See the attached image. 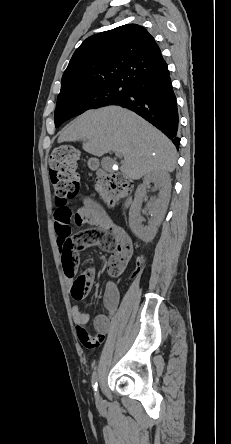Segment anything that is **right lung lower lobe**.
Masks as SVG:
<instances>
[{
  "mask_svg": "<svg viewBox=\"0 0 231 444\" xmlns=\"http://www.w3.org/2000/svg\"><path fill=\"white\" fill-rule=\"evenodd\" d=\"M133 110L165 133L178 148L179 116L168 68L130 85L128 95L114 103Z\"/></svg>",
  "mask_w": 231,
  "mask_h": 444,
  "instance_id": "obj_1",
  "label": "right lung lower lobe"
}]
</instances>
